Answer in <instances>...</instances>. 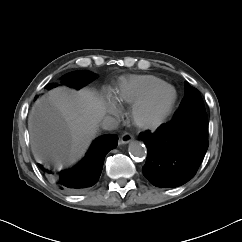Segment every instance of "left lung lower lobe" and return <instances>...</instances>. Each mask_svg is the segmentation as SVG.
Instances as JSON below:
<instances>
[{"label":"left lung lower lobe","mask_w":242,"mask_h":242,"mask_svg":"<svg viewBox=\"0 0 242 242\" xmlns=\"http://www.w3.org/2000/svg\"><path fill=\"white\" fill-rule=\"evenodd\" d=\"M139 137L147 146L143 175L157 187H178L194 177L207 151L208 119L175 129L163 124L154 133H140Z\"/></svg>","instance_id":"obj_1"}]
</instances>
